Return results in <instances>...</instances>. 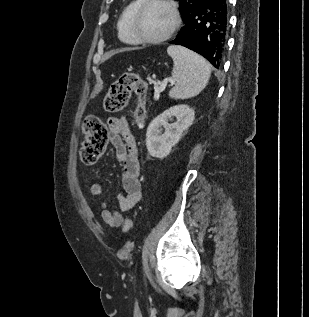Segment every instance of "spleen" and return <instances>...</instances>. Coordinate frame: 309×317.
I'll return each instance as SVG.
<instances>
[{
	"label": "spleen",
	"instance_id": "spleen-1",
	"mask_svg": "<svg viewBox=\"0 0 309 317\" xmlns=\"http://www.w3.org/2000/svg\"><path fill=\"white\" fill-rule=\"evenodd\" d=\"M167 53L173 59L171 75L175 83L169 97L188 99L198 95L208 84L210 65L203 57L182 46H169Z\"/></svg>",
	"mask_w": 309,
	"mask_h": 317
}]
</instances>
